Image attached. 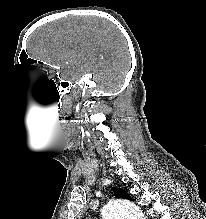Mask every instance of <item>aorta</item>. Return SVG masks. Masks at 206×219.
Wrapping results in <instances>:
<instances>
[{"label":"aorta","mask_w":206,"mask_h":219,"mask_svg":"<svg viewBox=\"0 0 206 219\" xmlns=\"http://www.w3.org/2000/svg\"><path fill=\"white\" fill-rule=\"evenodd\" d=\"M103 219H146L141 209L127 200H114L101 211Z\"/></svg>","instance_id":"762f6f07"}]
</instances>
